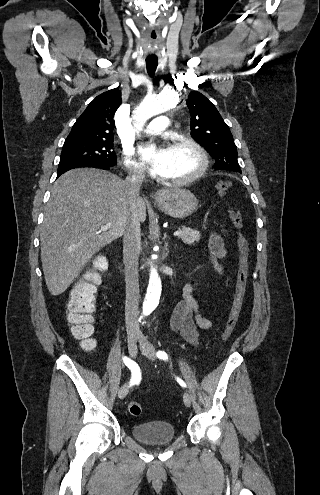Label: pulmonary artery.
<instances>
[{"label":"pulmonary artery","mask_w":320,"mask_h":495,"mask_svg":"<svg viewBox=\"0 0 320 495\" xmlns=\"http://www.w3.org/2000/svg\"><path fill=\"white\" fill-rule=\"evenodd\" d=\"M169 118L165 115H161L153 119L145 128L146 134H160L165 131L169 125Z\"/></svg>","instance_id":"pulmonary-artery-1"}]
</instances>
